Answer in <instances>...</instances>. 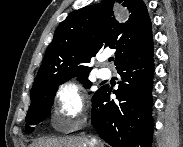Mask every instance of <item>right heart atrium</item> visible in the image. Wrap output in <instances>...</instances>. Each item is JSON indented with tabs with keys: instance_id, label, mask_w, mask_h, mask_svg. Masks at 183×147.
I'll return each mask as SVG.
<instances>
[{
	"instance_id": "right-heart-atrium-1",
	"label": "right heart atrium",
	"mask_w": 183,
	"mask_h": 147,
	"mask_svg": "<svg viewBox=\"0 0 183 147\" xmlns=\"http://www.w3.org/2000/svg\"><path fill=\"white\" fill-rule=\"evenodd\" d=\"M56 104L53 117L66 127L75 124L85 110V97L81 87L75 82H67L59 87L55 94Z\"/></svg>"
}]
</instances>
